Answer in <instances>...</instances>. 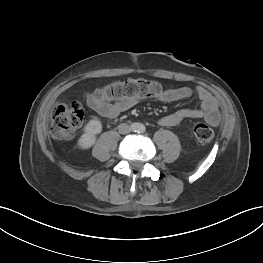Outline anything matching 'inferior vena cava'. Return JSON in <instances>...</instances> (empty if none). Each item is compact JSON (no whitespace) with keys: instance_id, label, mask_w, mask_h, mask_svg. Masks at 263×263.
<instances>
[{"instance_id":"1","label":"inferior vena cava","mask_w":263,"mask_h":263,"mask_svg":"<svg viewBox=\"0 0 263 263\" xmlns=\"http://www.w3.org/2000/svg\"><path fill=\"white\" fill-rule=\"evenodd\" d=\"M118 131L120 134H127L131 132V127L126 123H122L118 126Z\"/></svg>"}]
</instances>
